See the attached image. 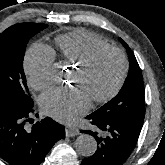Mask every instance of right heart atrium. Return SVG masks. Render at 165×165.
I'll return each mask as SVG.
<instances>
[{"instance_id": "d8ad5b80", "label": "right heart atrium", "mask_w": 165, "mask_h": 165, "mask_svg": "<svg viewBox=\"0 0 165 165\" xmlns=\"http://www.w3.org/2000/svg\"><path fill=\"white\" fill-rule=\"evenodd\" d=\"M54 51L46 45H32L25 56V72L29 85L42 90L53 82Z\"/></svg>"}]
</instances>
